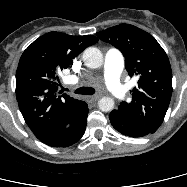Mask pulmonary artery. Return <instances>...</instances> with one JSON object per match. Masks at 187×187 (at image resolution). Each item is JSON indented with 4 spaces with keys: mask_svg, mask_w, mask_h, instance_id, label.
Returning <instances> with one entry per match:
<instances>
[{
    "mask_svg": "<svg viewBox=\"0 0 187 187\" xmlns=\"http://www.w3.org/2000/svg\"><path fill=\"white\" fill-rule=\"evenodd\" d=\"M124 59L117 49H109L104 60V80L108 89L118 98L125 96V88L120 82V75L123 70ZM68 82L77 83L78 78L69 77Z\"/></svg>",
    "mask_w": 187,
    "mask_h": 187,
    "instance_id": "obj_1",
    "label": "pulmonary artery"
}]
</instances>
